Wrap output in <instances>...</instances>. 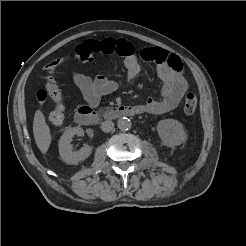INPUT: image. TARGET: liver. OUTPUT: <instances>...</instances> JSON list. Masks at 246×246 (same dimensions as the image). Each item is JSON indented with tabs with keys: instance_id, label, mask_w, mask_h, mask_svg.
I'll list each match as a JSON object with an SVG mask.
<instances>
[{
	"instance_id": "6515ba94",
	"label": "liver",
	"mask_w": 246,
	"mask_h": 246,
	"mask_svg": "<svg viewBox=\"0 0 246 246\" xmlns=\"http://www.w3.org/2000/svg\"><path fill=\"white\" fill-rule=\"evenodd\" d=\"M33 134L37 147L42 154H46L51 144L52 137L45 116L40 110H37L34 115Z\"/></svg>"
}]
</instances>
